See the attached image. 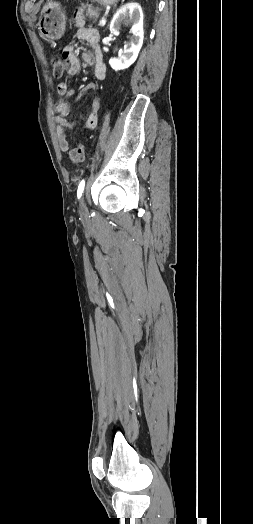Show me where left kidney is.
<instances>
[{"instance_id": "obj_1", "label": "left kidney", "mask_w": 253, "mask_h": 524, "mask_svg": "<svg viewBox=\"0 0 253 524\" xmlns=\"http://www.w3.org/2000/svg\"><path fill=\"white\" fill-rule=\"evenodd\" d=\"M125 22L132 24L130 30L132 36L129 42L124 45L122 56L109 60L110 66L116 71L126 69L133 64L143 45V12L138 3H128L116 12L110 24V32L115 35L118 34L121 25Z\"/></svg>"}]
</instances>
